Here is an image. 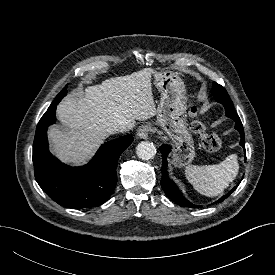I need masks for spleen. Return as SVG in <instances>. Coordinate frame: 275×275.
<instances>
[{
    "mask_svg": "<svg viewBox=\"0 0 275 275\" xmlns=\"http://www.w3.org/2000/svg\"><path fill=\"white\" fill-rule=\"evenodd\" d=\"M239 171L236 154L229 155L216 165H189L185 169L187 180L202 195L215 197L223 193Z\"/></svg>",
    "mask_w": 275,
    "mask_h": 275,
    "instance_id": "1",
    "label": "spleen"
}]
</instances>
